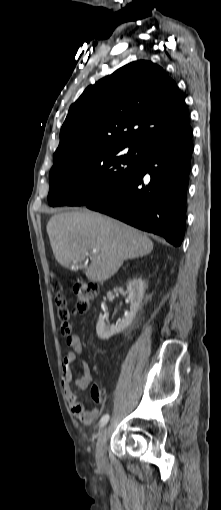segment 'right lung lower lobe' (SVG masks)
Returning <instances> with one entry per match:
<instances>
[{
    "label": "right lung lower lobe",
    "instance_id": "obj_1",
    "mask_svg": "<svg viewBox=\"0 0 221 510\" xmlns=\"http://www.w3.org/2000/svg\"><path fill=\"white\" fill-rule=\"evenodd\" d=\"M192 135L188 127L148 142L141 148L140 165L134 175L85 206L180 246L185 231Z\"/></svg>",
    "mask_w": 221,
    "mask_h": 510
}]
</instances>
